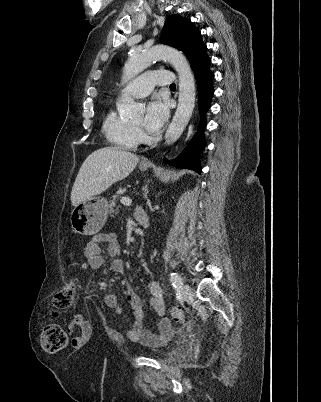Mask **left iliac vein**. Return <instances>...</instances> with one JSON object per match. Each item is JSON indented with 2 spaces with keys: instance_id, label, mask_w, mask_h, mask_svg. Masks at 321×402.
Segmentation results:
<instances>
[{
  "instance_id": "obj_1",
  "label": "left iliac vein",
  "mask_w": 321,
  "mask_h": 402,
  "mask_svg": "<svg viewBox=\"0 0 321 402\" xmlns=\"http://www.w3.org/2000/svg\"><path fill=\"white\" fill-rule=\"evenodd\" d=\"M181 292H182L183 297H184L186 300L189 301V300H192V299H193L194 293H193L192 288H191L189 285L184 284V285L182 286V288H181Z\"/></svg>"
}]
</instances>
